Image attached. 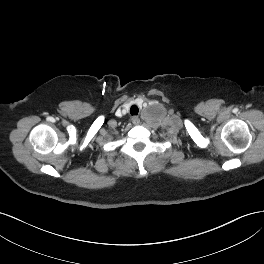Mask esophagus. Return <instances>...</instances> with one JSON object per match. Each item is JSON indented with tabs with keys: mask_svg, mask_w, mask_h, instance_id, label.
I'll use <instances>...</instances> for the list:
<instances>
[{
	"mask_svg": "<svg viewBox=\"0 0 264 264\" xmlns=\"http://www.w3.org/2000/svg\"><path fill=\"white\" fill-rule=\"evenodd\" d=\"M132 123L134 125H139L140 124V119L137 116L132 117Z\"/></svg>",
	"mask_w": 264,
	"mask_h": 264,
	"instance_id": "obj_1",
	"label": "esophagus"
}]
</instances>
